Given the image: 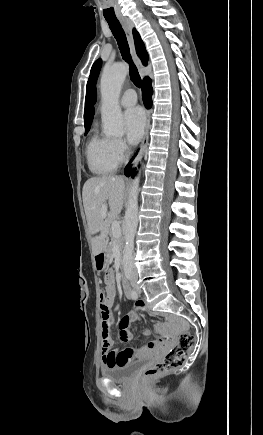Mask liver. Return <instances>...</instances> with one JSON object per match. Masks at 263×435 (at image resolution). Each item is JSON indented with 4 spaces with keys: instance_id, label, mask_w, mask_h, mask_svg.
<instances>
[{
    "instance_id": "liver-1",
    "label": "liver",
    "mask_w": 263,
    "mask_h": 435,
    "mask_svg": "<svg viewBox=\"0 0 263 435\" xmlns=\"http://www.w3.org/2000/svg\"><path fill=\"white\" fill-rule=\"evenodd\" d=\"M126 183L122 177H93L88 179L82 190V198L91 238L92 252L97 255L106 251L110 225L120 214ZM108 205L106 216L102 206ZM99 233V235H97Z\"/></svg>"
}]
</instances>
